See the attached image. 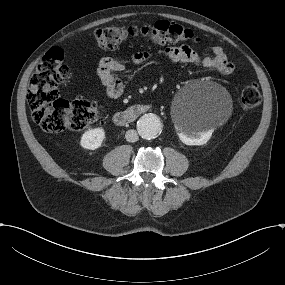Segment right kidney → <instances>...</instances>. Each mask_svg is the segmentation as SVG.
<instances>
[{"instance_id": "1", "label": "right kidney", "mask_w": 285, "mask_h": 285, "mask_svg": "<svg viewBox=\"0 0 285 285\" xmlns=\"http://www.w3.org/2000/svg\"><path fill=\"white\" fill-rule=\"evenodd\" d=\"M105 138V132L102 128L90 129L81 137L80 145L89 150L99 148Z\"/></svg>"}]
</instances>
